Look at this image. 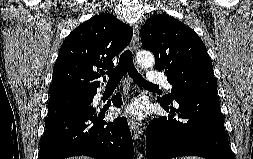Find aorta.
Masks as SVG:
<instances>
[{
    "instance_id": "762f6f07",
    "label": "aorta",
    "mask_w": 253,
    "mask_h": 159,
    "mask_svg": "<svg viewBox=\"0 0 253 159\" xmlns=\"http://www.w3.org/2000/svg\"><path fill=\"white\" fill-rule=\"evenodd\" d=\"M137 62L140 66L144 68H149L153 66L155 59L152 53L147 51H141L137 54Z\"/></svg>"
}]
</instances>
